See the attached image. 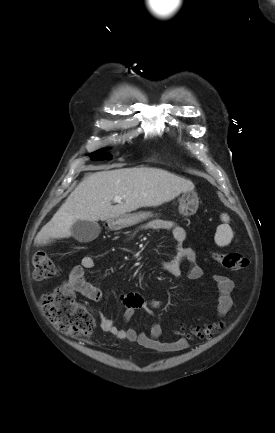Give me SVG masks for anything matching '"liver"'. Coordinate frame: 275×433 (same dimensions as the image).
<instances>
[{
    "label": "liver",
    "mask_w": 275,
    "mask_h": 433,
    "mask_svg": "<svg viewBox=\"0 0 275 433\" xmlns=\"http://www.w3.org/2000/svg\"><path fill=\"white\" fill-rule=\"evenodd\" d=\"M194 184L163 169L120 168L95 172L84 178L68 196L52 219L37 234L34 243L47 244L68 238L75 222L116 218L141 207H155L181 193L194 190ZM120 196L123 202L113 206Z\"/></svg>",
    "instance_id": "obj_1"
}]
</instances>
